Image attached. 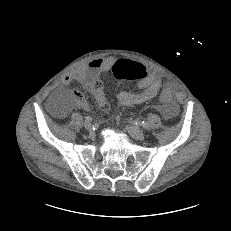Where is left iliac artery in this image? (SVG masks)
<instances>
[{
	"label": "left iliac artery",
	"mask_w": 231,
	"mask_h": 231,
	"mask_svg": "<svg viewBox=\"0 0 231 231\" xmlns=\"http://www.w3.org/2000/svg\"><path fill=\"white\" fill-rule=\"evenodd\" d=\"M135 124H138L141 127L146 128V129L149 128V126H150V124L147 121H142V122L135 121Z\"/></svg>",
	"instance_id": "1"
}]
</instances>
